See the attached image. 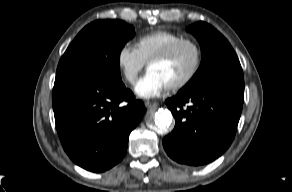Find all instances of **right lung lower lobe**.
I'll return each instance as SVG.
<instances>
[{
  "label": "right lung lower lobe",
  "instance_id": "right-lung-lower-lobe-1",
  "mask_svg": "<svg viewBox=\"0 0 292 192\" xmlns=\"http://www.w3.org/2000/svg\"><path fill=\"white\" fill-rule=\"evenodd\" d=\"M123 101L127 105L121 106ZM52 102L64 150L91 172L106 171L123 159L129 134L145 113L123 83L82 72H57Z\"/></svg>",
  "mask_w": 292,
  "mask_h": 192
}]
</instances>
